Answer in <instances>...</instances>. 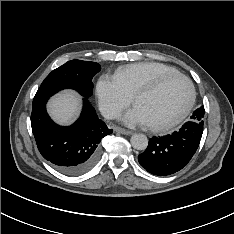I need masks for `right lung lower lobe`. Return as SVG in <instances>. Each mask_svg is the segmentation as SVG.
<instances>
[{"instance_id": "obj_1", "label": "right lung lower lobe", "mask_w": 234, "mask_h": 234, "mask_svg": "<svg viewBox=\"0 0 234 234\" xmlns=\"http://www.w3.org/2000/svg\"><path fill=\"white\" fill-rule=\"evenodd\" d=\"M80 117L71 126H59L46 112L47 100L33 105L31 126L41 155L60 172L76 176L91 169L100 152V141L113 130L98 118L84 98Z\"/></svg>"}]
</instances>
